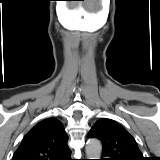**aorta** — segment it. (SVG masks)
Returning a JSON list of instances; mask_svg holds the SVG:
<instances>
[{
	"instance_id": "762f6f07",
	"label": "aorta",
	"mask_w": 160,
	"mask_h": 160,
	"mask_svg": "<svg viewBox=\"0 0 160 160\" xmlns=\"http://www.w3.org/2000/svg\"><path fill=\"white\" fill-rule=\"evenodd\" d=\"M85 150L88 159H100L102 152L101 142L97 139H91L88 141Z\"/></svg>"
}]
</instances>
